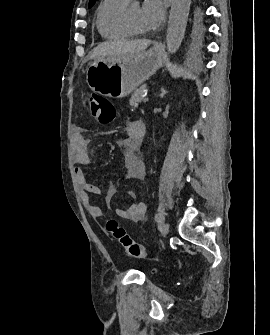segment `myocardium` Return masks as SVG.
<instances>
[{
    "label": "myocardium",
    "instance_id": "f54148a6",
    "mask_svg": "<svg viewBox=\"0 0 270 335\" xmlns=\"http://www.w3.org/2000/svg\"><path fill=\"white\" fill-rule=\"evenodd\" d=\"M122 21H123V24L125 25V27L129 30V32L133 35H138L139 34V31H136L133 29V27L130 25L127 17L125 14H123L122 16Z\"/></svg>",
    "mask_w": 270,
    "mask_h": 335
}]
</instances>
